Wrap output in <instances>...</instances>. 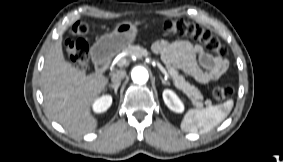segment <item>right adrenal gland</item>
<instances>
[{
  "label": "right adrenal gland",
  "instance_id": "1",
  "mask_svg": "<svg viewBox=\"0 0 283 162\" xmlns=\"http://www.w3.org/2000/svg\"><path fill=\"white\" fill-rule=\"evenodd\" d=\"M119 86H120V83L110 84L108 87H109V89H114V93H115V95H117V91H118Z\"/></svg>",
  "mask_w": 283,
  "mask_h": 162
}]
</instances>
